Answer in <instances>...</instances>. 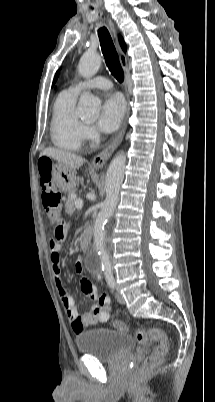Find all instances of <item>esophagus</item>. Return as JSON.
Returning a JSON list of instances; mask_svg holds the SVG:
<instances>
[{
  "label": "esophagus",
  "instance_id": "34e87169",
  "mask_svg": "<svg viewBox=\"0 0 215 402\" xmlns=\"http://www.w3.org/2000/svg\"><path fill=\"white\" fill-rule=\"evenodd\" d=\"M109 26L116 39V44H117V48H118V52H119V58H120L121 65L124 68V70L127 71V59L117 42L116 29H115L113 23L111 22V20H109ZM125 82L127 84V80ZM127 98L129 100L128 93H127ZM129 113H130V108L128 107L126 117H125V120L123 122L120 132L118 133L116 138L104 150H102L98 155H96L94 157V159L92 160V166H94L96 168H102L105 165V163L108 161V159L111 157L114 150L122 142L124 134L126 132V128H127V120L129 117Z\"/></svg>",
  "mask_w": 215,
  "mask_h": 402
}]
</instances>
